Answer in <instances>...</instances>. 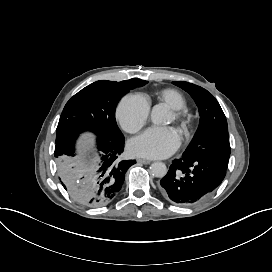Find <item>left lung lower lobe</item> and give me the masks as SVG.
<instances>
[{"mask_svg":"<svg viewBox=\"0 0 272 272\" xmlns=\"http://www.w3.org/2000/svg\"><path fill=\"white\" fill-rule=\"evenodd\" d=\"M227 165L228 162L211 157L176 159L160 181V192L181 206H191L221 184ZM178 170L185 174L183 178L176 175Z\"/></svg>","mask_w":272,"mask_h":272,"instance_id":"1","label":"left lung lower lobe"}]
</instances>
